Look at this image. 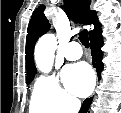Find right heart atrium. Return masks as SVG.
I'll return each mask as SVG.
<instances>
[{
    "instance_id": "right-heart-atrium-1",
    "label": "right heart atrium",
    "mask_w": 121,
    "mask_h": 113,
    "mask_svg": "<svg viewBox=\"0 0 121 113\" xmlns=\"http://www.w3.org/2000/svg\"><path fill=\"white\" fill-rule=\"evenodd\" d=\"M37 100L48 113H71L78 109V102L60 86L55 75L41 76L35 85Z\"/></svg>"
}]
</instances>
